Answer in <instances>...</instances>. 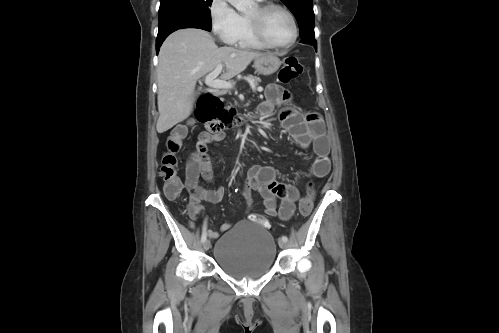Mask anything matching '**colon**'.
Returning a JSON list of instances; mask_svg holds the SVG:
<instances>
[{"instance_id":"colon-1","label":"colon","mask_w":499,"mask_h":333,"mask_svg":"<svg viewBox=\"0 0 499 333\" xmlns=\"http://www.w3.org/2000/svg\"><path fill=\"white\" fill-rule=\"evenodd\" d=\"M302 71L303 66L301 63L296 58L290 57L286 59L283 67L279 71L278 79L282 83H288L298 77ZM213 99L217 107V118L219 117V119L226 120L229 117L228 112L220 107V101L218 98L213 97ZM186 135L187 126L180 124L172 129L166 140V150L162 158L159 174L163 179L164 193L169 199H176L183 190V184L177 175L176 167L177 154L182 148L183 140ZM314 197V186L309 184L306 195L300 200L299 203V213L301 216L306 217L310 215L313 209ZM249 220L259 223L268 229L271 227L269 221L259 214H251L249 216Z\"/></svg>"}]
</instances>
